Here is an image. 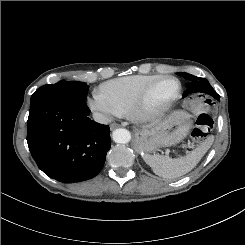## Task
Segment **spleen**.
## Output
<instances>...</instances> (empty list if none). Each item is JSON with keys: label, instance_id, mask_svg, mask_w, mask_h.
<instances>
[{"label": "spleen", "instance_id": "obj_1", "mask_svg": "<svg viewBox=\"0 0 245 245\" xmlns=\"http://www.w3.org/2000/svg\"><path fill=\"white\" fill-rule=\"evenodd\" d=\"M207 149L208 146L206 144H202L195 148L187 156L171 158L169 156L160 154H145L143 159L146 164L152 168L156 175L166 180H174L187 174L194 167H196Z\"/></svg>", "mask_w": 245, "mask_h": 245}]
</instances>
